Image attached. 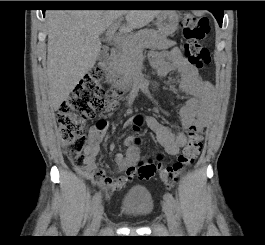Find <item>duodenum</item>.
Segmentation results:
<instances>
[{"label": "duodenum", "mask_w": 265, "mask_h": 245, "mask_svg": "<svg viewBox=\"0 0 265 245\" xmlns=\"http://www.w3.org/2000/svg\"><path fill=\"white\" fill-rule=\"evenodd\" d=\"M115 60L116 53L115 51H111L103 61V67L106 73V80L109 84L113 86L114 89L125 90L129 86V83L124 80H116L113 76Z\"/></svg>", "instance_id": "410a0bca"}]
</instances>
